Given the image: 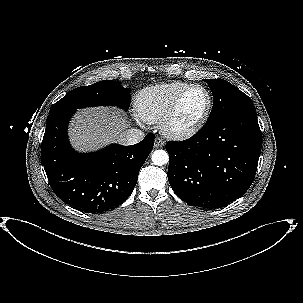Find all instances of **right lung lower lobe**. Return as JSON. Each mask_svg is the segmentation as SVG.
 I'll return each mask as SVG.
<instances>
[{"mask_svg":"<svg viewBox=\"0 0 303 303\" xmlns=\"http://www.w3.org/2000/svg\"><path fill=\"white\" fill-rule=\"evenodd\" d=\"M74 112L58 111L47 117L41 156L50 186L61 200L83 212L113 209L131 195L155 136L149 133L131 146L111 144L95 153H77L67 137Z\"/></svg>","mask_w":303,"mask_h":303,"instance_id":"right-lung-lower-lobe-1","label":"right lung lower lobe"}]
</instances>
